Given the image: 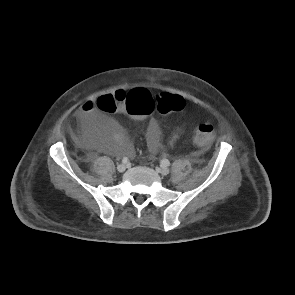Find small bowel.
Listing matches in <instances>:
<instances>
[{
	"label": "small bowel",
	"mask_w": 295,
	"mask_h": 295,
	"mask_svg": "<svg viewBox=\"0 0 295 295\" xmlns=\"http://www.w3.org/2000/svg\"><path fill=\"white\" fill-rule=\"evenodd\" d=\"M123 111V110H121ZM76 120L83 131L84 136L93 142L98 149L112 152H121L129 157L134 155L133 147L128 143L125 136L116 123L106 118L93 102L84 103L76 113ZM186 133V129L179 130L172 139V143L178 142ZM111 136L115 145L110 146L104 140H98L100 136ZM149 149L152 154H158L161 149L160 130L154 119H151L146 130Z\"/></svg>",
	"instance_id": "c3829d8e"
}]
</instances>
